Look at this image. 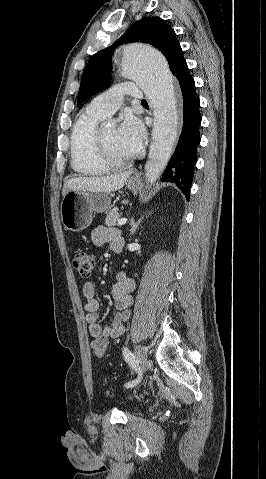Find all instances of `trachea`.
<instances>
[{
  "instance_id": "1",
  "label": "trachea",
  "mask_w": 266,
  "mask_h": 479,
  "mask_svg": "<svg viewBox=\"0 0 266 479\" xmlns=\"http://www.w3.org/2000/svg\"><path fill=\"white\" fill-rule=\"evenodd\" d=\"M141 102H142V103H146V100H142Z\"/></svg>"
}]
</instances>
